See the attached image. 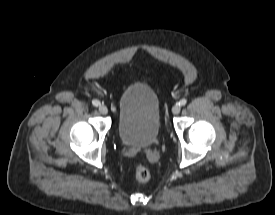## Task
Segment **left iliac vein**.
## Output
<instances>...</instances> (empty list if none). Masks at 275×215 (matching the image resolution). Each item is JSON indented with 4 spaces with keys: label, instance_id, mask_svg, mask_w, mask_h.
<instances>
[{
    "label": "left iliac vein",
    "instance_id": "1",
    "mask_svg": "<svg viewBox=\"0 0 275 215\" xmlns=\"http://www.w3.org/2000/svg\"><path fill=\"white\" fill-rule=\"evenodd\" d=\"M180 110H181L180 105L176 104V105H174L173 108H172V113H173L174 115H176V114H178V113L180 112Z\"/></svg>",
    "mask_w": 275,
    "mask_h": 215
}]
</instances>
